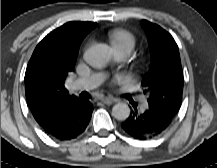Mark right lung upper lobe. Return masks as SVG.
<instances>
[{
    "label": "right lung upper lobe",
    "instance_id": "cb5924a9",
    "mask_svg": "<svg viewBox=\"0 0 217 168\" xmlns=\"http://www.w3.org/2000/svg\"><path fill=\"white\" fill-rule=\"evenodd\" d=\"M96 25L68 22L50 32L35 48L25 73V91L37 122L60 106L78 100L69 95L64 83L75 66L82 40Z\"/></svg>",
    "mask_w": 217,
    "mask_h": 168
}]
</instances>
